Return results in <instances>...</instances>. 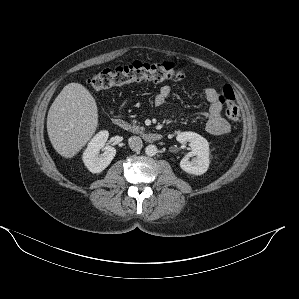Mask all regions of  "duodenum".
I'll list each match as a JSON object with an SVG mask.
<instances>
[{
    "instance_id": "obj_1",
    "label": "duodenum",
    "mask_w": 299,
    "mask_h": 299,
    "mask_svg": "<svg viewBox=\"0 0 299 299\" xmlns=\"http://www.w3.org/2000/svg\"><path fill=\"white\" fill-rule=\"evenodd\" d=\"M111 122L117 128L125 129V128L128 127V125L125 122V120H123L120 117H114V118H112ZM162 138H163V136L160 133H146V134H144V139L146 141H148V142L160 141Z\"/></svg>"
}]
</instances>
